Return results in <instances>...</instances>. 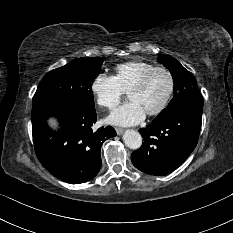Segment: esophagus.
<instances>
[{
    "instance_id": "1",
    "label": "esophagus",
    "mask_w": 233,
    "mask_h": 233,
    "mask_svg": "<svg viewBox=\"0 0 233 233\" xmlns=\"http://www.w3.org/2000/svg\"><path fill=\"white\" fill-rule=\"evenodd\" d=\"M115 130H116L117 135H121L124 132V129L119 128V127L115 128Z\"/></svg>"
}]
</instances>
